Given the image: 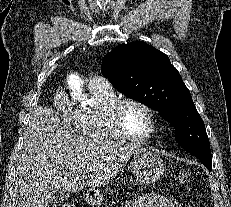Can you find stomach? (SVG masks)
Segmentation results:
<instances>
[{
    "instance_id": "0dacf381",
    "label": "stomach",
    "mask_w": 231,
    "mask_h": 207,
    "mask_svg": "<svg viewBox=\"0 0 231 207\" xmlns=\"http://www.w3.org/2000/svg\"><path fill=\"white\" fill-rule=\"evenodd\" d=\"M130 169L138 184L151 185L156 183L165 172V165L161 157L146 149H140L131 155ZM119 189H115L118 193ZM103 200L102 195L96 192L90 201L98 206Z\"/></svg>"
}]
</instances>
